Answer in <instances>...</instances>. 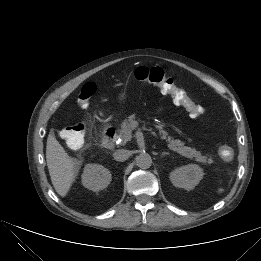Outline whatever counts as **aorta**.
Here are the masks:
<instances>
[{
	"label": "aorta",
	"mask_w": 261,
	"mask_h": 261,
	"mask_svg": "<svg viewBox=\"0 0 261 261\" xmlns=\"http://www.w3.org/2000/svg\"><path fill=\"white\" fill-rule=\"evenodd\" d=\"M136 164L141 169H148L152 165V158L148 153H141L135 158Z\"/></svg>",
	"instance_id": "obj_1"
}]
</instances>
